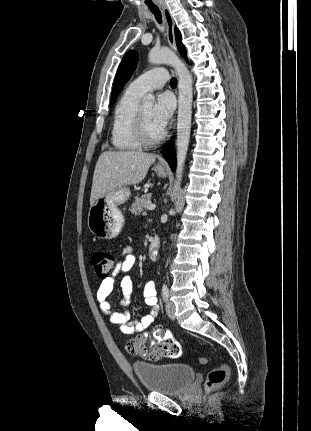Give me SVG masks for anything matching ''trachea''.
I'll use <instances>...</instances> for the list:
<instances>
[{
	"label": "trachea",
	"mask_w": 311,
	"mask_h": 431,
	"mask_svg": "<svg viewBox=\"0 0 311 431\" xmlns=\"http://www.w3.org/2000/svg\"><path fill=\"white\" fill-rule=\"evenodd\" d=\"M151 12L155 15L156 20L161 23V12L158 7H149ZM170 85L173 87L177 86V79L171 78Z\"/></svg>",
	"instance_id": "1"
}]
</instances>
